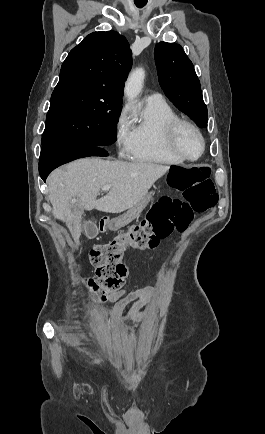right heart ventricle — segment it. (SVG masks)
I'll return each mask as SVG.
<instances>
[{"label":"right heart ventricle","mask_w":265,"mask_h":434,"mask_svg":"<svg viewBox=\"0 0 265 434\" xmlns=\"http://www.w3.org/2000/svg\"><path fill=\"white\" fill-rule=\"evenodd\" d=\"M177 118L174 109L164 99L160 98L158 103H149L147 99L133 116L129 159L136 163L182 165L168 142L170 126Z\"/></svg>","instance_id":"right-heart-ventricle-1"}]
</instances>
